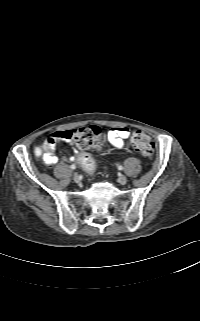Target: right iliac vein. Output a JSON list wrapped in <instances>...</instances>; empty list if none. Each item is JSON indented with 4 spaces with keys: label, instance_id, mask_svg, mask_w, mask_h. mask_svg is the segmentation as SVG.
I'll use <instances>...</instances> for the list:
<instances>
[{
    "label": "right iliac vein",
    "instance_id": "obj_1",
    "mask_svg": "<svg viewBox=\"0 0 200 321\" xmlns=\"http://www.w3.org/2000/svg\"><path fill=\"white\" fill-rule=\"evenodd\" d=\"M73 179L74 181L78 182L79 181V175L75 172L73 173Z\"/></svg>",
    "mask_w": 200,
    "mask_h": 321
}]
</instances>
